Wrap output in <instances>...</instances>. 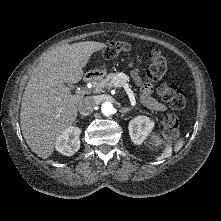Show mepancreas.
<instances>
[{
  "mask_svg": "<svg viewBox=\"0 0 221 221\" xmlns=\"http://www.w3.org/2000/svg\"><path fill=\"white\" fill-rule=\"evenodd\" d=\"M116 80H120L122 82L128 81L127 76L120 77L119 73H109L106 75L105 78H101L99 80H93L92 81V91L93 93H99L101 92L104 88H110L114 86V82Z\"/></svg>",
  "mask_w": 221,
  "mask_h": 221,
  "instance_id": "pancreas-1",
  "label": "pancreas"
}]
</instances>
